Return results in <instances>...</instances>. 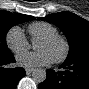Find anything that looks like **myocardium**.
I'll return each instance as SVG.
<instances>
[{
    "label": "myocardium",
    "mask_w": 89,
    "mask_h": 89,
    "mask_svg": "<svg viewBox=\"0 0 89 89\" xmlns=\"http://www.w3.org/2000/svg\"><path fill=\"white\" fill-rule=\"evenodd\" d=\"M56 40H59L63 43L64 50H63L62 54L60 56H58L57 58H55L53 61L55 63H62L67 59V57L69 56V53H70V43L66 37L56 33V34L44 36V37L40 38L38 41L53 42Z\"/></svg>",
    "instance_id": "1"
}]
</instances>
